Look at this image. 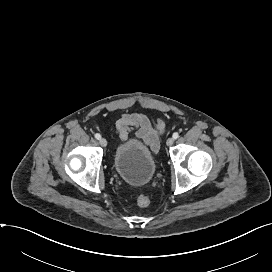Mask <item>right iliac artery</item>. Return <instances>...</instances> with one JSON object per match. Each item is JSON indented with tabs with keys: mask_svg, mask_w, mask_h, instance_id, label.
<instances>
[{
	"mask_svg": "<svg viewBox=\"0 0 272 272\" xmlns=\"http://www.w3.org/2000/svg\"><path fill=\"white\" fill-rule=\"evenodd\" d=\"M95 138L99 140V139L101 138V135L98 134V133H96V134H95Z\"/></svg>",
	"mask_w": 272,
	"mask_h": 272,
	"instance_id": "obj_1",
	"label": "right iliac artery"
}]
</instances>
